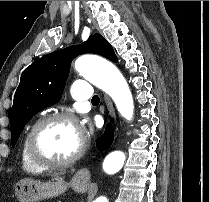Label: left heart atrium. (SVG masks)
<instances>
[{
  "label": "left heart atrium",
  "instance_id": "1",
  "mask_svg": "<svg viewBox=\"0 0 209 202\" xmlns=\"http://www.w3.org/2000/svg\"><path fill=\"white\" fill-rule=\"evenodd\" d=\"M78 130H79L80 135L82 136L84 134V128L79 125Z\"/></svg>",
  "mask_w": 209,
  "mask_h": 202
}]
</instances>
